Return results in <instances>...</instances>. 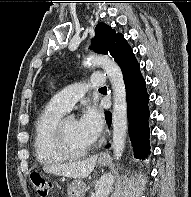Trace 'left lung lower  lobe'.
I'll return each mask as SVG.
<instances>
[{"mask_svg":"<svg viewBox=\"0 0 191 197\" xmlns=\"http://www.w3.org/2000/svg\"><path fill=\"white\" fill-rule=\"evenodd\" d=\"M126 85V98L128 103L129 133L135 157L145 159L150 153L149 145V95L146 83L140 72V66L123 72ZM106 121L111 123V113L105 114ZM109 147V146H107Z\"/></svg>","mask_w":191,"mask_h":197,"instance_id":"0a47b994","label":"left lung lower lobe"}]
</instances>
